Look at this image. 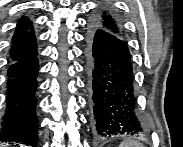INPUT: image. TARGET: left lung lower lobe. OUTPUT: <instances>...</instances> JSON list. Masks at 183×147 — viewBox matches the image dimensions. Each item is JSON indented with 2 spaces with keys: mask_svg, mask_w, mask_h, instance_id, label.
Returning a JSON list of instances; mask_svg holds the SVG:
<instances>
[{
  "mask_svg": "<svg viewBox=\"0 0 183 147\" xmlns=\"http://www.w3.org/2000/svg\"><path fill=\"white\" fill-rule=\"evenodd\" d=\"M92 126L99 137L143 135L136 114L130 52L123 38L92 25L87 37Z\"/></svg>",
  "mask_w": 183,
  "mask_h": 147,
  "instance_id": "obj_1",
  "label": "left lung lower lobe"
}]
</instances>
